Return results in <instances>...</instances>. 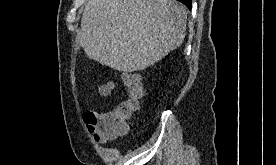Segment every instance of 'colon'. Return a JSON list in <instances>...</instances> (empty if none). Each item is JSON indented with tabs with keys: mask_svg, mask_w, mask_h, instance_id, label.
Listing matches in <instances>:
<instances>
[{
	"mask_svg": "<svg viewBox=\"0 0 276 165\" xmlns=\"http://www.w3.org/2000/svg\"><path fill=\"white\" fill-rule=\"evenodd\" d=\"M124 84L128 91V98L125 101L106 113L88 111L84 114L86 126L96 140L109 139L124 133L135 112L139 109L144 97L140 76L135 73L127 74ZM111 90V83L99 87V93L103 96L109 95Z\"/></svg>",
	"mask_w": 276,
	"mask_h": 165,
	"instance_id": "colon-1",
	"label": "colon"
}]
</instances>
